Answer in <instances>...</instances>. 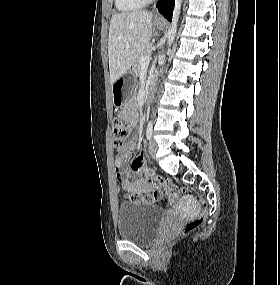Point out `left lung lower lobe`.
Segmentation results:
<instances>
[{
	"label": "left lung lower lobe",
	"mask_w": 280,
	"mask_h": 285,
	"mask_svg": "<svg viewBox=\"0 0 280 285\" xmlns=\"http://www.w3.org/2000/svg\"><path fill=\"white\" fill-rule=\"evenodd\" d=\"M157 8L167 20H172L174 0H160L157 4Z\"/></svg>",
	"instance_id": "left-lung-lower-lobe-1"
}]
</instances>
